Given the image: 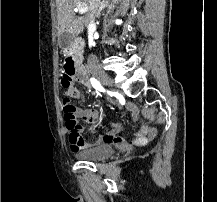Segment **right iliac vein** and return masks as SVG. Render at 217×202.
Returning <instances> with one entry per match:
<instances>
[{"label":"right iliac vein","mask_w":217,"mask_h":202,"mask_svg":"<svg viewBox=\"0 0 217 202\" xmlns=\"http://www.w3.org/2000/svg\"><path fill=\"white\" fill-rule=\"evenodd\" d=\"M94 77L102 84L107 85V86H112L113 81L112 79L105 73H93Z\"/></svg>","instance_id":"obj_1"}]
</instances>
